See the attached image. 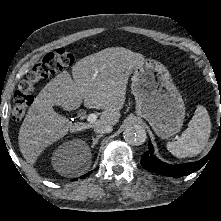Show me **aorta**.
I'll return each mask as SVG.
<instances>
[{
    "instance_id": "762f6f07",
    "label": "aorta",
    "mask_w": 221,
    "mask_h": 221,
    "mask_svg": "<svg viewBox=\"0 0 221 221\" xmlns=\"http://www.w3.org/2000/svg\"><path fill=\"white\" fill-rule=\"evenodd\" d=\"M124 140L130 145H140L146 141V131L140 125L128 126L123 132Z\"/></svg>"
}]
</instances>
